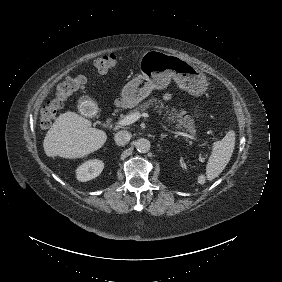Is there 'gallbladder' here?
<instances>
[{
	"label": "gallbladder",
	"mask_w": 282,
	"mask_h": 282,
	"mask_svg": "<svg viewBox=\"0 0 282 282\" xmlns=\"http://www.w3.org/2000/svg\"><path fill=\"white\" fill-rule=\"evenodd\" d=\"M92 101V99L88 96H82L78 100V108L88 107V104Z\"/></svg>",
	"instance_id": "1"
}]
</instances>
